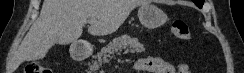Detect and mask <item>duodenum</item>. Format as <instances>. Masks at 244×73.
Segmentation results:
<instances>
[{"mask_svg": "<svg viewBox=\"0 0 244 73\" xmlns=\"http://www.w3.org/2000/svg\"><path fill=\"white\" fill-rule=\"evenodd\" d=\"M92 53V49L84 43H76L71 48V55L75 61H82L87 58Z\"/></svg>", "mask_w": 244, "mask_h": 73, "instance_id": "1", "label": "duodenum"}]
</instances>
